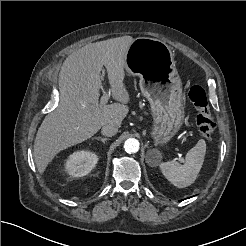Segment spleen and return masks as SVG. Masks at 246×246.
I'll return each mask as SVG.
<instances>
[{"label":"spleen","instance_id":"1","mask_svg":"<svg viewBox=\"0 0 246 246\" xmlns=\"http://www.w3.org/2000/svg\"><path fill=\"white\" fill-rule=\"evenodd\" d=\"M206 154L205 140L200 139L186 154V161L180 164L176 161L159 164L162 174L176 187L185 188L193 184L202 168Z\"/></svg>","mask_w":246,"mask_h":246}]
</instances>
